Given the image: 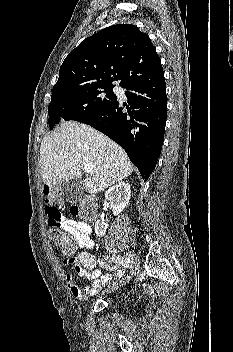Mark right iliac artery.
<instances>
[{
	"mask_svg": "<svg viewBox=\"0 0 233 352\" xmlns=\"http://www.w3.org/2000/svg\"><path fill=\"white\" fill-rule=\"evenodd\" d=\"M112 260L118 264V265H122L123 267H129L130 265V260L127 257H123V256H113Z\"/></svg>",
	"mask_w": 233,
	"mask_h": 352,
	"instance_id": "1",
	"label": "right iliac artery"
}]
</instances>
